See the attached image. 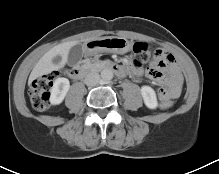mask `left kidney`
<instances>
[{
  "label": "left kidney",
  "instance_id": "left-kidney-1",
  "mask_svg": "<svg viewBox=\"0 0 219 174\" xmlns=\"http://www.w3.org/2000/svg\"><path fill=\"white\" fill-rule=\"evenodd\" d=\"M141 95L143 97L145 105L149 109H156L158 106V101L156 97V93L153 88L150 86H142L141 87Z\"/></svg>",
  "mask_w": 219,
  "mask_h": 174
}]
</instances>
